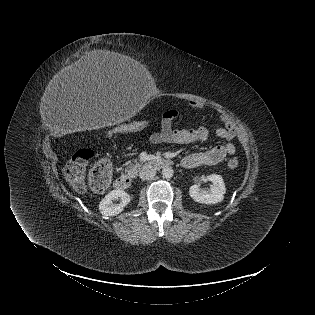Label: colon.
<instances>
[{"instance_id":"colon-1","label":"colon","mask_w":315,"mask_h":315,"mask_svg":"<svg viewBox=\"0 0 315 315\" xmlns=\"http://www.w3.org/2000/svg\"><path fill=\"white\" fill-rule=\"evenodd\" d=\"M146 122L141 123H128L120 126L116 133L126 134L137 130L140 126H143ZM94 153L88 148H82L74 152L68 161L64 175L67 182L71 187L78 191L83 192L87 188V183L85 180V171L89 161L93 158ZM228 167L231 169L237 168L239 161L236 158H232L227 163ZM111 179V166L109 161L100 160L98 161L89 176V186L98 192L103 191L109 184Z\"/></svg>"}]
</instances>
